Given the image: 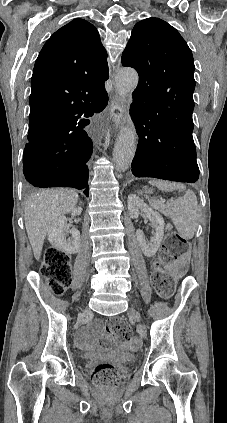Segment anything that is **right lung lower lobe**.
I'll list each match as a JSON object with an SVG mask.
<instances>
[{
	"label": "right lung lower lobe",
	"instance_id": "obj_1",
	"mask_svg": "<svg viewBox=\"0 0 227 423\" xmlns=\"http://www.w3.org/2000/svg\"><path fill=\"white\" fill-rule=\"evenodd\" d=\"M107 103L77 101L66 104L30 106L29 121L64 119L70 126L39 142L26 144L23 172L35 187H73L88 196V161L93 143L85 131L89 117L101 112Z\"/></svg>",
	"mask_w": 227,
	"mask_h": 423
}]
</instances>
